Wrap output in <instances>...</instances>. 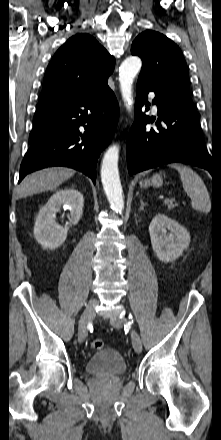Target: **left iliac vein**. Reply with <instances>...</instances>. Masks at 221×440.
I'll use <instances>...</instances> for the list:
<instances>
[{"instance_id":"left-iliac-vein-1","label":"left iliac vein","mask_w":221,"mask_h":440,"mask_svg":"<svg viewBox=\"0 0 221 440\" xmlns=\"http://www.w3.org/2000/svg\"><path fill=\"white\" fill-rule=\"evenodd\" d=\"M125 321L126 319L124 317L119 316H114L110 319L111 325L115 328H120L125 323ZM131 339L134 350L137 353H140L142 351V341L139 334L135 330H132L131 332Z\"/></svg>"}]
</instances>
